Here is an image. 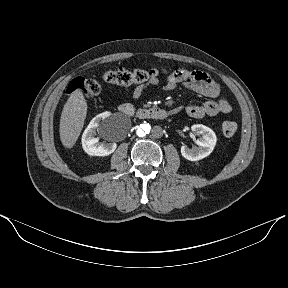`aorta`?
<instances>
[{
    "instance_id": "obj_1",
    "label": "aorta",
    "mask_w": 288,
    "mask_h": 288,
    "mask_svg": "<svg viewBox=\"0 0 288 288\" xmlns=\"http://www.w3.org/2000/svg\"><path fill=\"white\" fill-rule=\"evenodd\" d=\"M151 131V126L147 122H142L139 124V126L136 129V134L140 138H145L149 135Z\"/></svg>"
}]
</instances>
